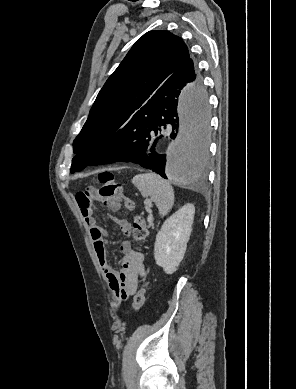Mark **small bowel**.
I'll return each instance as SVG.
<instances>
[{
	"instance_id": "small-bowel-1",
	"label": "small bowel",
	"mask_w": 296,
	"mask_h": 389,
	"mask_svg": "<svg viewBox=\"0 0 296 389\" xmlns=\"http://www.w3.org/2000/svg\"><path fill=\"white\" fill-rule=\"evenodd\" d=\"M96 200H99V198L94 189L78 193L76 196L81 216L87 225L93 240L95 253L102 272L115 300L117 303H121L135 294L139 280L146 277L144 255L141 252L134 250L129 240H124L120 244V252L122 254L120 258L121 270L117 271L110 266L105 249V238L107 233L103 228L97 225L93 216V202ZM109 207L112 210H117L119 205ZM110 219L119 225L124 237H130L131 225L127 220L113 216H111Z\"/></svg>"
}]
</instances>
